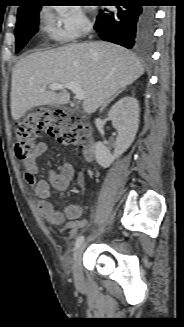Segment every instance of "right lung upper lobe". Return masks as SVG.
<instances>
[{"mask_svg":"<svg viewBox=\"0 0 184 327\" xmlns=\"http://www.w3.org/2000/svg\"><path fill=\"white\" fill-rule=\"evenodd\" d=\"M21 5L19 6L18 11L25 10L27 8H31L33 6H36L38 3L37 0H21L20 1Z\"/></svg>","mask_w":184,"mask_h":327,"instance_id":"1","label":"right lung upper lobe"}]
</instances>
